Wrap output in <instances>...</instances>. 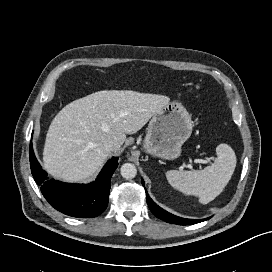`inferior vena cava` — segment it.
<instances>
[{
    "label": "inferior vena cava",
    "instance_id": "obj_1",
    "mask_svg": "<svg viewBox=\"0 0 272 272\" xmlns=\"http://www.w3.org/2000/svg\"><path fill=\"white\" fill-rule=\"evenodd\" d=\"M105 148L108 149L109 151H114L117 150L120 145L118 144L117 141L113 140V139H109L105 142L104 144Z\"/></svg>",
    "mask_w": 272,
    "mask_h": 272
}]
</instances>
